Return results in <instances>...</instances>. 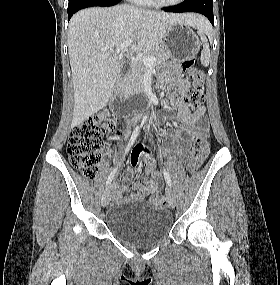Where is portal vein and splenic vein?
<instances>
[{"instance_id":"obj_1","label":"portal vein and splenic vein","mask_w":280,"mask_h":285,"mask_svg":"<svg viewBox=\"0 0 280 285\" xmlns=\"http://www.w3.org/2000/svg\"><path fill=\"white\" fill-rule=\"evenodd\" d=\"M132 42V39L125 40L119 47L115 49V53L119 54L120 52L126 50L132 44ZM104 51H107V49H104ZM128 56H132V54L128 53ZM140 61L146 66H152L156 62V58L153 56H144L140 59Z\"/></svg>"}]
</instances>
